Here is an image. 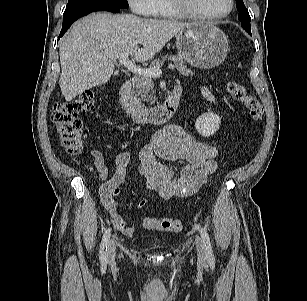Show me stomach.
<instances>
[{"label": "stomach", "mask_w": 307, "mask_h": 301, "mask_svg": "<svg viewBox=\"0 0 307 301\" xmlns=\"http://www.w3.org/2000/svg\"><path fill=\"white\" fill-rule=\"evenodd\" d=\"M228 47L226 35L213 25L193 24L176 35L178 52L197 68L210 69L218 66L225 59Z\"/></svg>", "instance_id": "stomach-1"}]
</instances>
